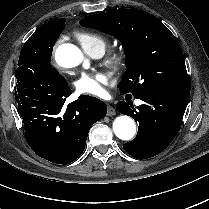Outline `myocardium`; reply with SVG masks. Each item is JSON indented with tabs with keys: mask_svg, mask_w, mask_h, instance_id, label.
I'll use <instances>...</instances> for the list:
<instances>
[{
	"mask_svg": "<svg viewBox=\"0 0 209 209\" xmlns=\"http://www.w3.org/2000/svg\"><path fill=\"white\" fill-rule=\"evenodd\" d=\"M124 62V54L122 52H114L107 60V64L111 68L119 67Z\"/></svg>",
	"mask_w": 209,
	"mask_h": 209,
	"instance_id": "myocardium-1",
	"label": "myocardium"
}]
</instances>
